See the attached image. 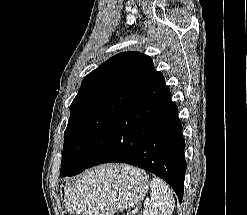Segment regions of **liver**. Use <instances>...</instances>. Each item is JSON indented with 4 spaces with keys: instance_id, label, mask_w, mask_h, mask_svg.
Here are the masks:
<instances>
[{
    "instance_id": "liver-1",
    "label": "liver",
    "mask_w": 247,
    "mask_h": 215,
    "mask_svg": "<svg viewBox=\"0 0 247 215\" xmlns=\"http://www.w3.org/2000/svg\"><path fill=\"white\" fill-rule=\"evenodd\" d=\"M122 168H123L124 170H129L130 167H128V166H122Z\"/></svg>"
}]
</instances>
